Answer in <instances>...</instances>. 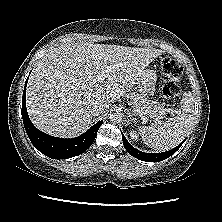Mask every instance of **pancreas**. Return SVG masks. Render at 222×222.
<instances>
[{"mask_svg":"<svg viewBox=\"0 0 222 222\" xmlns=\"http://www.w3.org/2000/svg\"><path fill=\"white\" fill-rule=\"evenodd\" d=\"M129 98L135 109L147 118L155 119L166 116L165 109L156 102H150L146 98L136 95L135 93H131Z\"/></svg>","mask_w":222,"mask_h":222,"instance_id":"1","label":"pancreas"}]
</instances>
